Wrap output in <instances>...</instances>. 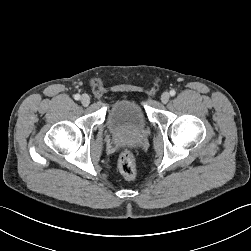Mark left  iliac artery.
<instances>
[{
    "label": "left iliac artery",
    "mask_w": 251,
    "mask_h": 251,
    "mask_svg": "<svg viewBox=\"0 0 251 251\" xmlns=\"http://www.w3.org/2000/svg\"><path fill=\"white\" fill-rule=\"evenodd\" d=\"M175 94H176V91H175V90H171V91H170V95H171V96H175Z\"/></svg>",
    "instance_id": "obj_1"
}]
</instances>
